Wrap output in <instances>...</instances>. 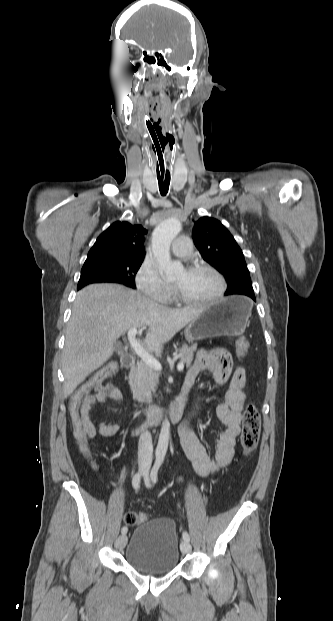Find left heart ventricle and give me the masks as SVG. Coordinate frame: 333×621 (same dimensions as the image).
<instances>
[{
	"mask_svg": "<svg viewBox=\"0 0 333 621\" xmlns=\"http://www.w3.org/2000/svg\"><path fill=\"white\" fill-rule=\"evenodd\" d=\"M175 286L191 299L204 300L219 290L218 279L209 271L181 270L173 279Z\"/></svg>",
	"mask_w": 333,
	"mask_h": 621,
	"instance_id": "1",
	"label": "left heart ventricle"
}]
</instances>
